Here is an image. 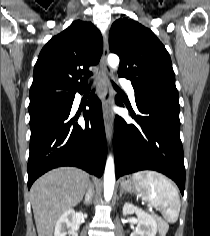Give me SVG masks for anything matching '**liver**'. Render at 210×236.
<instances>
[{
	"mask_svg": "<svg viewBox=\"0 0 210 236\" xmlns=\"http://www.w3.org/2000/svg\"><path fill=\"white\" fill-rule=\"evenodd\" d=\"M89 185V174L74 167L57 168L38 178L30 190L38 236H53L57 219L80 203Z\"/></svg>",
	"mask_w": 210,
	"mask_h": 236,
	"instance_id": "1",
	"label": "liver"
}]
</instances>
